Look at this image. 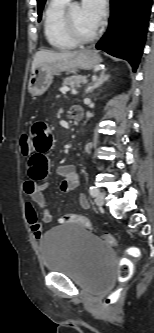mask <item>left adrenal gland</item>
I'll use <instances>...</instances> for the list:
<instances>
[{
	"label": "left adrenal gland",
	"instance_id": "left-adrenal-gland-1",
	"mask_svg": "<svg viewBox=\"0 0 154 333\" xmlns=\"http://www.w3.org/2000/svg\"><path fill=\"white\" fill-rule=\"evenodd\" d=\"M106 69L104 68L101 71V74L99 77L93 78L92 83L87 88V92L91 93L93 92L96 88L100 87L105 81H107L110 77V75L105 74Z\"/></svg>",
	"mask_w": 154,
	"mask_h": 333
}]
</instances>
